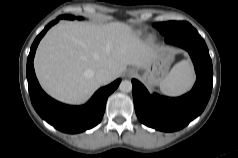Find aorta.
<instances>
[{
    "instance_id": "1",
    "label": "aorta",
    "mask_w": 238,
    "mask_h": 158,
    "mask_svg": "<svg viewBox=\"0 0 238 158\" xmlns=\"http://www.w3.org/2000/svg\"><path fill=\"white\" fill-rule=\"evenodd\" d=\"M119 89L122 92H130V91H132V83H131V81H129V80L122 81L120 83V85H119Z\"/></svg>"
}]
</instances>
